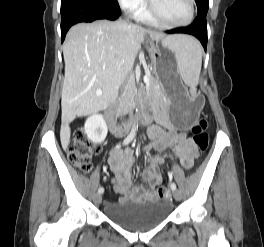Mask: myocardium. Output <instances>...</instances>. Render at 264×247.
Segmentation results:
<instances>
[{"label":"myocardium","mask_w":264,"mask_h":247,"mask_svg":"<svg viewBox=\"0 0 264 247\" xmlns=\"http://www.w3.org/2000/svg\"><path fill=\"white\" fill-rule=\"evenodd\" d=\"M188 4H189V17L183 21V22H177V23H173V22H168L166 20H164L156 11L152 0H149L148 3V14L150 15V17L160 26L165 27V28H182V27H186L189 26L195 18V2L194 0H188Z\"/></svg>","instance_id":"myocardium-1"}]
</instances>
